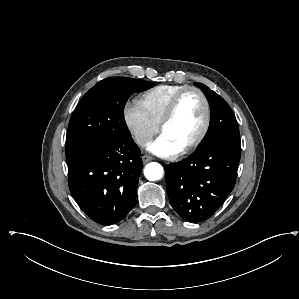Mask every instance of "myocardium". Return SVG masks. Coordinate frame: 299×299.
I'll list each match as a JSON object with an SVG mask.
<instances>
[{"instance_id":"myocardium-1","label":"myocardium","mask_w":299,"mask_h":299,"mask_svg":"<svg viewBox=\"0 0 299 299\" xmlns=\"http://www.w3.org/2000/svg\"><path fill=\"white\" fill-rule=\"evenodd\" d=\"M190 92H194L200 96L204 105V120L196 137L181 149L180 152L182 154H186L199 146L208 132L211 121V108L209 100L204 92L201 89L192 86L182 89L173 97L158 125L159 132L162 133L163 129L172 121L181 99Z\"/></svg>"}]
</instances>
